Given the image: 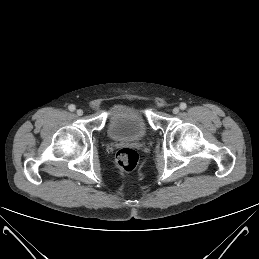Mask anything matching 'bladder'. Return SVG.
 Returning <instances> with one entry per match:
<instances>
[{"instance_id": "obj_1", "label": "bladder", "mask_w": 259, "mask_h": 259, "mask_svg": "<svg viewBox=\"0 0 259 259\" xmlns=\"http://www.w3.org/2000/svg\"><path fill=\"white\" fill-rule=\"evenodd\" d=\"M148 127L141 112L123 103L113 105L107 114V134L114 140H140Z\"/></svg>"}]
</instances>
